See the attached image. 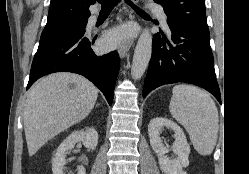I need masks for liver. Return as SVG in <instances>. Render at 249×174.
Returning <instances> with one entry per match:
<instances>
[{"label": "liver", "instance_id": "liver-1", "mask_svg": "<svg viewBox=\"0 0 249 174\" xmlns=\"http://www.w3.org/2000/svg\"><path fill=\"white\" fill-rule=\"evenodd\" d=\"M97 97L98 89L78 74L54 73L37 82L28 93L23 113L29 156L85 119Z\"/></svg>", "mask_w": 249, "mask_h": 174}]
</instances>
